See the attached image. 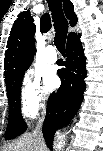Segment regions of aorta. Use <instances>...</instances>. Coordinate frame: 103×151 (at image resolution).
I'll return each instance as SVG.
<instances>
[{
  "mask_svg": "<svg viewBox=\"0 0 103 151\" xmlns=\"http://www.w3.org/2000/svg\"><path fill=\"white\" fill-rule=\"evenodd\" d=\"M62 148V142H59L56 146H55V149L56 150H61Z\"/></svg>",
  "mask_w": 103,
  "mask_h": 151,
  "instance_id": "1",
  "label": "aorta"
}]
</instances>
